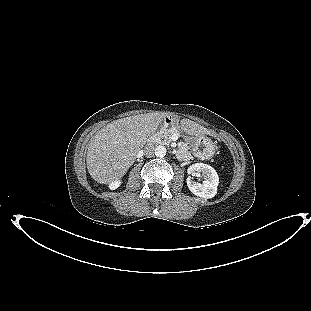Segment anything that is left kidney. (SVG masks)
<instances>
[{
    "instance_id": "1",
    "label": "left kidney",
    "mask_w": 311,
    "mask_h": 311,
    "mask_svg": "<svg viewBox=\"0 0 311 311\" xmlns=\"http://www.w3.org/2000/svg\"><path fill=\"white\" fill-rule=\"evenodd\" d=\"M187 171L188 174L199 172L204 178L202 184L193 181L191 177L187 178V186L194 195L209 199L217 194L219 176L213 167L204 163H196L191 165Z\"/></svg>"
}]
</instances>
